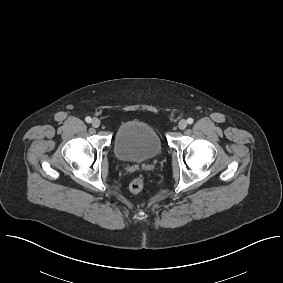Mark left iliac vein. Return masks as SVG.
Segmentation results:
<instances>
[{
  "instance_id": "obj_1",
  "label": "left iliac vein",
  "mask_w": 283,
  "mask_h": 283,
  "mask_svg": "<svg viewBox=\"0 0 283 283\" xmlns=\"http://www.w3.org/2000/svg\"><path fill=\"white\" fill-rule=\"evenodd\" d=\"M178 127L181 130H184L187 127V121L185 119H182L178 123Z\"/></svg>"
}]
</instances>
